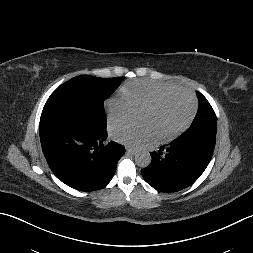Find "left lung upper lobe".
Masks as SVG:
<instances>
[{"mask_svg": "<svg viewBox=\"0 0 253 253\" xmlns=\"http://www.w3.org/2000/svg\"><path fill=\"white\" fill-rule=\"evenodd\" d=\"M199 107L189 129L175 140H190L203 144L214 151L216 142L217 119L208 100L197 92Z\"/></svg>", "mask_w": 253, "mask_h": 253, "instance_id": "5c2ea615", "label": "left lung upper lobe"}]
</instances>
